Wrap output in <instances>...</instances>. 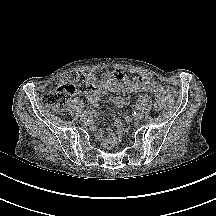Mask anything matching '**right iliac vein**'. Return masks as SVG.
Instances as JSON below:
<instances>
[{"label": "right iliac vein", "mask_w": 216, "mask_h": 216, "mask_svg": "<svg viewBox=\"0 0 216 216\" xmlns=\"http://www.w3.org/2000/svg\"><path fill=\"white\" fill-rule=\"evenodd\" d=\"M87 119H88V116H87L86 114H83V115L81 116V120H82L83 122L87 121Z\"/></svg>", "instance_id": "right-iliac-vein-1"}]
</instances>
